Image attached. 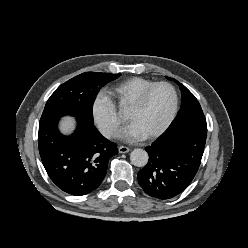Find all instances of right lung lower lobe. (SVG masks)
<instances>
[{
	"instance_id": "obj_1",
	"label": "right lung lower lobe",
	"mask_w": 248,
	"mask_h": 248,
	"mask_svg": "<svg viewBox=\"0 0 248 248\" xmlns=\"http://www.w3.org/2000/svg\"><path fill=\"white\" fill-rule=\"evenodd\" d=\"M38 146L51 180L74 196L97 189L109 159L118 153L117 145L103 137L94 123L78 118L77 129L70 136L60 133L58 120L39 128Z\"/></svg>"
}]
</instances>
